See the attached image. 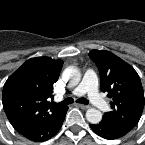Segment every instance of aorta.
Segmentation results:
<instances>
[{"mask_svg":"<svg viewBox=\"0 0 145 145\" xmlns=\"http://www.w3.org/2000/svg\"><path fill=\"white\" fill-rule=\"evenodd\" d=\"M63 78L68 81L70 87H74L80 82L81 74L76 67L70 66L64 70ZM86 119L91 124H97L102 119V113L98 109L89 108L86 111Z\"/></svg>","mask_w":145,"mask_h":145,"instance_id":"762f6f07","label":"aorta"}]
</instances>
